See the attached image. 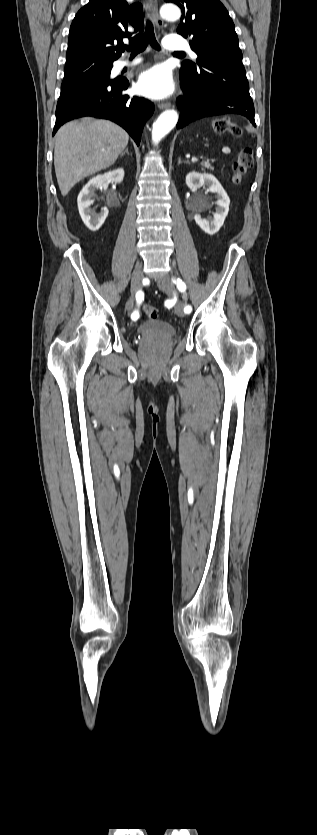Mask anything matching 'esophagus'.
<instances>
[{"label": "esophagus", "instance_id": "obj_1", "mask_svg": "<svg viewBox=\"0 0 317 835\" xmlns=\"http://www.w3.org/2000/svg\"><path fill=\"white\" fill-rule=\"evenodd\" d=\"M150 1H151V4H152V15H153V18L155 20V23L159 28H162L163 25H164V22L159 15L157 0H150ZM158 107L161 110L168 109V108H171V103L170 102H162V103H159Z\"/></svg>", "mask_w": 317, "mask_h": 835}]
</instances>
